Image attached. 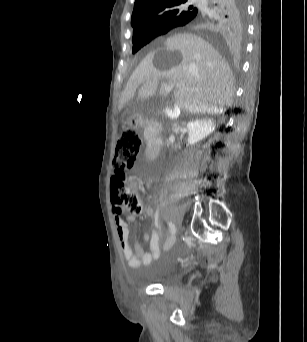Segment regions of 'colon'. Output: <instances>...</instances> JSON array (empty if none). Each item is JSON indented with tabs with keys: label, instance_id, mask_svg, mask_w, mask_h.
<instances>
[{
	"label": "colon",
	"instance_id": "1",
	"mask_svg": "<svg viewBox=\"0 0 307 342\" xmlns=\"http://www.w3.org/2000/svg\"><path fill=\"white\" fill-rule=\"evenodd\" d=\"M143 139L135 130L124 131L118 140L114 170L117 175L111 185V197L118 211L125 206L128 209V219L132 220L142 212V203L137 195L125 184L126 174L131 172L137 165ZM122 193V201H117V193Z\"/></svg>",
	"mask_w": 307,
	"mask_h": 342
}]
</instances>
